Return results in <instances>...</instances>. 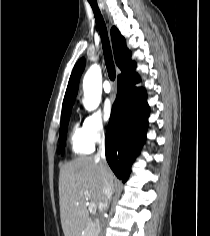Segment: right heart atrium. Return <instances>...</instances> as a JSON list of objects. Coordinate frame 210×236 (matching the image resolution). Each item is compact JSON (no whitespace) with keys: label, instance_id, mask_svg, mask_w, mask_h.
<instances>
[{"label":"right heart atrium","instance_id":"obj_1","mask_svg":"<svg viewBox=\"0 0 210 236\" xmlns=\"http://www.w3.org/2000/svg\"><path fill=\"white\" fill-rule=\"evenodd\" d=\"M83 126L86 136L92 144L103 139L105 124L98 112L88 114L84 119Z\"/></svg>","mask_w":210,"mask_h":236}]
</instances>
